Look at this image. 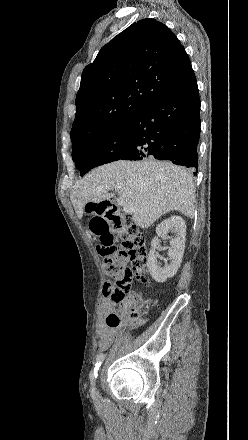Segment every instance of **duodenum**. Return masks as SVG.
I'll use <instances>...</instances> for the list:
<instances>
[{"mask_svg": "<svg viewBox=\"0 0 248 440\" xmlns=\"http://www.w3.org/2000/svg\"><path fill=\"white\" fill-rule=\"evenodd\" d=\"M103 206L106 208H112L114 207V204L111 201H103L102 202Z\"/></svg>", "mask_w": 248, "mask_h": 440, "instance_id": "410a0bca", "label": "duodenum"}]
</instances>
